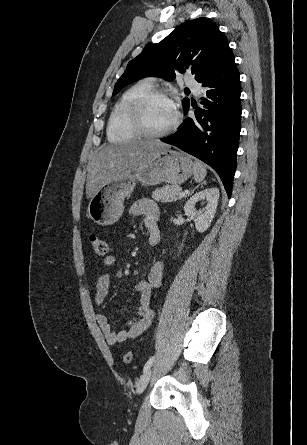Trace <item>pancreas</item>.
I'll return each instance as SVG.
<instances>
[{"instance_id": "1", "label": "pancreas", "mask_w": 307, "mask_h": 445, "mask_svg": "<svg viewBox=\"0 0 307 445\" xmlns=\"http://www.w3.org/2000/svg\"><path fill=\"white\" fill-rule=\"evenodd\" d=\"M181 186L179 184H165L161 188H156L152 192L154 200H161V202H173L179 198Z\"/></svg>"}]
</instances>
